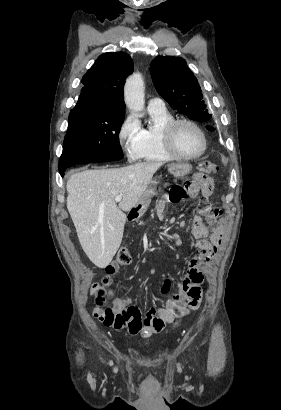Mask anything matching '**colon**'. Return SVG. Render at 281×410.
Returning a JSON list of instances; mask_svg holds the SVG:
<instances>
[{
	"label": "colon",
	"instance_id": "obj_1",
	"mask_svg": "<svg viewBox=\"0 0 281 410\" xmlns=\"http://www.w3.org/2000/svg\"><path fill=\"white\" fill-rule=\"evenodd\" d=\"M218 168L215 164L204 161L200 163L198 171L201 175H210L217 172ZM167 197L171 202L182 201L186 195V189L180 185H173L167 190ZM200 205L202 207H207V198L202 197L200 200ZM218 209H211V213L217 215ZM131 261V256L129 251L126 248L119 250L116 256V262L118 265L124 266L129 264ZM92 295L95 297L96 302H101L103 304L104 296L106 294V287L103 284L95 283L91 289ZM200 299L198 296H193L190 301V307L196 309L200 305ZM140 312L136 310H129L126 313L116 312L112 308H104L96 314V317L106 326L114 327L117 330L136 329L139 325L137 317ZM141 315V314H140ZM131 317H136L134 321H130ZM180 325V322H176L174 327L177 328Z\"/></svg>",
	"mask_w": 281,
	"mask_h": 410
}]
</instances>
